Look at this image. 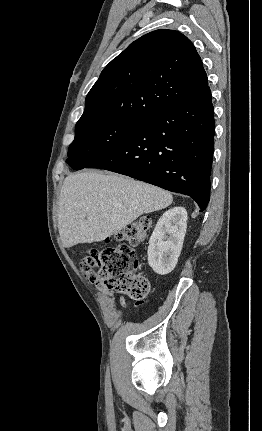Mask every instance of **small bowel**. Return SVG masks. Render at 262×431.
I'll list each match as a JSON object with an SVG mask.
<instances>
[{
	"mask_svg": "<svg viewBox=\"0 0 262 431\" xmlns=\"http://www.w3.org/2000/svg\"><path fill=\"white\" fill-rule=\"evenodd\" d=\"M87 277H88V279H89L90 281H92V278H91L89 275H87ZM94 285L97 287V289H98V290H99L103 295L108 296V297H111V298H113V299H116V298H117L116 294H113V293L109 292V291H108V290H106L102 285H100V284H98V283H96V282H94Z\"/></svg>",
	"mask_w": 262,
	"mask_h": 431,
	"instance_id": "c3829d8e",
	"label": "small bowel"
}]
</instances>
